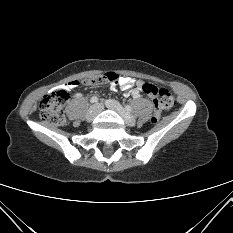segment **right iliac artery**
<instances>
[{
	"label": "right iliac artery",
	"mask_w": 233,
	"mask_h": 233,
	"mask_svg": "<svg viewBox=\"0 0 233 233\" xmlns=\"http://www.w3.org/2000/svg\"><path fill=\"white\" fill-rule=\"evenodd\" d=\"M98 97L97 96H93L90 100L91 103H97L98 102Z\"/></svg>",
	"instance_id": "right-iliac-artery-1"
}]
</instances>
